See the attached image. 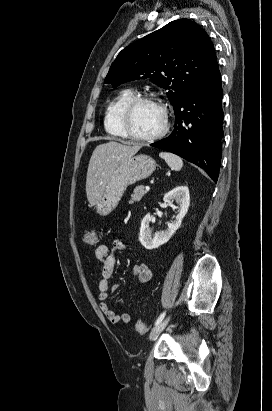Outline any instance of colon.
Here are the masks:
<instances>
[{
    "instance_id": "5ec220e1",
    "label": "colon",
    "mask_w": 272,
    "mask_h": 411,
    "mask_svg": "<svg viewBox=\"0 0 272 411\" xmlns=\"http://www.w3.org/2000/svg\"><path fill=\"white\" fill-rule=\"evenodd\" d=\"M96 241L97 235L94 231H88L83 236V242L86 244L92 245ZM136 330L139 334L144 335L148 332V326L142 320H138L136 323Z\"/></svg>"
}]
</instances>
